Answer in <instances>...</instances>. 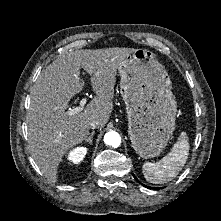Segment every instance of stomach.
<instances>
[{"mask_svg":"<svg viewBox=\"0 0 221 221\" xmlns=\"http://www.w3.org/2000/svg\"><path fill=\"white\" fill-rule=\"evenodd\" d=\"M118 72L132 147L144 159L157 157L175 129L177 105L169 75L147 49H135Z\"/></svg>","mask_w":221,"mask_h":221,"instance_id":"1","label":"stomach"}]
</instances>
